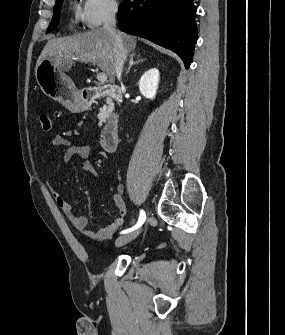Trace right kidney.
<instances>
[{
    "label": "right kidney",
    "instance_id": "obj_1",
    "mask_svg": "<svg viewBox=\"0 0 285 335\" xmlns=\"http://www.w3.org/2000/svg\"><path fill=\"white\" fill-rule=\"evenodd\" d=\"M159 82V70L157 68H151L148 72H145L139 80V90L142 96L154 100L158 88Z\"/></svg>",
    "mask_w": 285,
    "mask_h": 335
}]
</instances>
